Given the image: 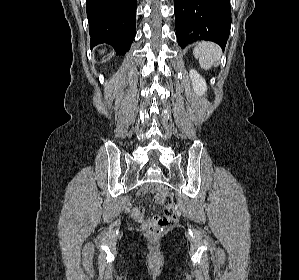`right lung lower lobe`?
<instances>
[{
	"mask_svg": "<svg viewBox=\"0 0 299 280\" xmlns=\"http://www.w3.org/2000/svg\"><path fill=\"white\" fill-rule=\"evenodd\" d=\"M90 46L110 44L117 54L129 51L136 32V0H87Z\"/></svg>",
	"mask_w": 299,
	"mask_h": 280,
	"instance_id": "1",
	"label": "right lung lower lobe"
}]
</instances>
